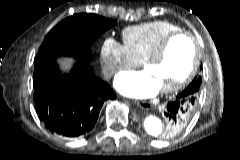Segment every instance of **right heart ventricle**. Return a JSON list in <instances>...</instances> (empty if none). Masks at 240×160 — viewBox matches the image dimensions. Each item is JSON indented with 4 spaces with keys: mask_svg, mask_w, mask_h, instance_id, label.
I'll list each match as a JSON object with an SVG mask.
<instances>
[{
    "mask_svg": "<svg viewBox=\"0 0 240 160\" xmlns=\"http://www.w3.org/2000/svg\"><path fill=\"white\" fill-rule=\"evenodd\" d=\"M181 28L167 21H153L131 27L122 32L123 45L136 62L147 57L168 34Z\"/></svg>",
    "mask_w": 240,
    "mask_h": 160,
    "instance_id": "e07e8e85",
    "label": "right heart ventricle"
}]
</instances>
